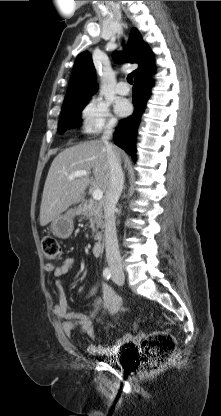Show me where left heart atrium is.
I'll use <instances>...</instances> for the list:
<instances>
[{
  "instance_id": "39dd6f15",
  "label": "left heart atrium",
  "mask_w": 221,
  "mask_h": 416,
  "mask_svg": "<svg viewBox=\"0 0 221 416\" xmlns=\"http://www.w3.org/2000/svg\"><path fill=\"white\" fill-rule=\"evenodd\" d=\"M116 110L119 115L127 116L131 113L132 108L128 102L122 101L117 105Z\"/></svg>"
}]
</instances>
